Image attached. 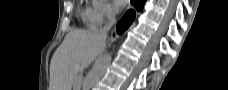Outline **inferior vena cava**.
I'll return each mask as SVG.
<instances>
[{"label":"inferior vena cava","mask_w":228,"mask_h":90,"mask_svg":"<svg viewBox=\"0 0 228 90\" xmlns=\"http://www.w3.org/2000/svg\"><path fill=\"white\" fill-rule=\"evenodd\" d=\"M115 15L116 11L113 8H109L107 12L108 23H106L102 28L96 31L99 35H101L102 37L107 36L108 31L115 22Z\"/></svg>","instance_id":"602c4592"}]
</instances>
